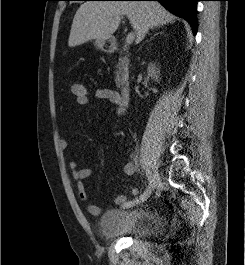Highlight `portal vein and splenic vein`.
Wrapping results in <instances>:
<instances>
[{
  "mask_svg": "<svg viewBox=\"0 0 245 265\" xmlns=\"http://www.w3.org/2000/svg\"><path fill=\"white\" fill-rule=\"evenodd\" d=\"M134 39H135V35H134V33H129V34L127 35V37H126V44H127V45L132 44L133 41H134Z\"/></svg>",
  "mask_w": 245,
  "mask_h": 265,
  "instance_id": "1",
  "label": "portal vein and splenic vein"
}]
</instances>
